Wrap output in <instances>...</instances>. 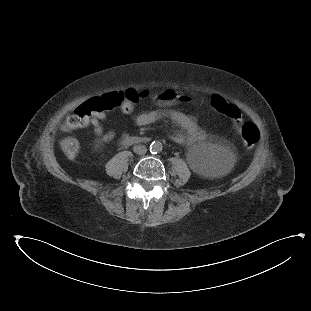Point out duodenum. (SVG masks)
Instances as JSON below:
<instances>
[{"label": "duodenum", "instance_id": "410a0bca", "mask_svg": "<svg viewBox=\"0 0 311 311\" xmlns=\"http://www.w3.org/2000/svg\"><path fill=\"white\" fill-rule=\"evenodd\" d=\"M121 142H128V143H133V144H142L146 143L147 139L142 138V137H136V136H127L124 137Z\"/></svg>", "mask_w": 311, "mask_h": 311}]
</instances>
